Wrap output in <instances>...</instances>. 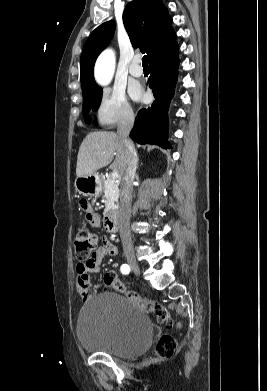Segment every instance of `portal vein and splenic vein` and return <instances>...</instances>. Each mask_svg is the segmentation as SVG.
<instances>
[{
  "label": "portal vein and splenic vein",
  "instance_id": "obj_1",
  "mask_svg": "<svg viewBox=\"0 0 267 391\" xmlns=\"http://www.w3.org/2000/svg\"><path fill=\"white\" fill-rule=\"evenodd\" d=\"M111 177L113 179H117V178H119V173L117 171H113L112 174H111Z\"/></svg>",
  "mask_w": 267,
  "mask_h": 391
}]
</instances>
